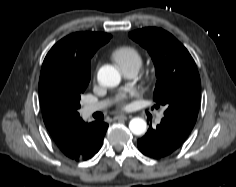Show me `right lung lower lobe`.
<instances>
[{
  "label": "right lung lower lobe",
  "instance_id": "98d812e1",
  "mask_svg": "<svg viewBox=\"0 0 236 187\" xmlns=\"http://www.w3.org/2000/svg\"><path fill=\"white\" fill-rule=\"evenodd\" d=\"M108 124L102 121L87 123L80 136L77 153L72 158L76 161L88 160L101 148Z\"/></svg>",
  "mask_w": 236,
  "mask_h": 187
}]
</instances>
